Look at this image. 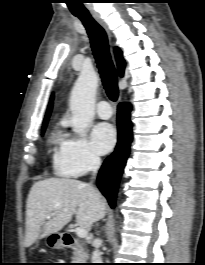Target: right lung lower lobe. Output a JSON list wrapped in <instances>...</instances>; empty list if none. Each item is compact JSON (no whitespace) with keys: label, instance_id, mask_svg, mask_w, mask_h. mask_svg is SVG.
<instances>
[{"label":"right lung lower lobe","instance_id":"right-lung-lower-lobe-1","mask_svg":"<svg viewBox=\"0 0 205 265\" xmlns=\"http://www.w3.org/2000/svg\"><path fill=\"white\" fill-rule=\"evenodd\" d=\"M131 105L121 102L118 105L117 126L118 143L112 153L103 163L97 178V185L107 198L109 205L114 208L115 197L122 170L130 150L132 140V124L130 121Z\"/></svg>","mask_w":205,"mask_h":265}]
</instances>
